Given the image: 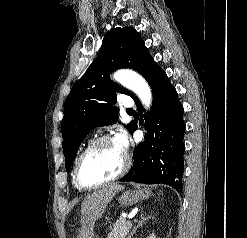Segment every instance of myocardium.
<instances>
[{
	"mask_svg": "<svg viewBox=\"0 0 247 238\" xmlns=\"http://www.w3.org/2000/svg\"><path fill=\"white\" fill-rule=\"evenodd\" d=\"M109 141H114V138L111 137L110 135H102L98 138H96L94 141H92L88 147L80 154V156L78 157L75 167H74V180L75 183L77 184V186L81 189L84 190H89V189H94V188H98L101 187L105 184H108L110 182H113L119 178H121L123 175H125L127 173V171L129 170L130 166H131V158L129 156V154L124 151V163L122 168L120 169V171L118 173H116L115 175H113L112 177L102 180L98 183L95 184H85L80 176V168L82 165V162L84 161V159L90 154L92 153L95 149H97L101 144L105 143V142H109Z\"/></svg>",
	"mask_w": 247,
	"mask_h": 238,
	"instance_id": "obj_1",
	"label": "myocardium"
}]
</instances>
